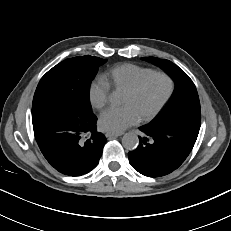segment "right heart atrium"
I'll use <instances>...</instances> for the list:
<instances>
[{"instance_id":"obj_1","label":"right heart atrium","mask_w":231,"mask_h":231,"mask_svg":"<svg viewBox=\"0 0 231 231\" xmlns=\"http://www.w3.org/2000/svg\"><path fill=\"white\" fill-rule=\"evenodd\" d=\"M110 97V85L104 78H97L90 84L89 100L91 105L98 110L106 107Z\"/></svg>"}]
</instances>
